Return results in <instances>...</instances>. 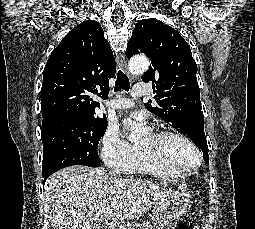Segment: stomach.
Masks as SVG:
<instances>
[{
  "label": "stomach",
  "mask_w": 255,
  "mask_h": 229,
  "mask_svg": "<svg viewBox=\"0 0 255 229\" xmlns=\"http://www.w3.org/2000/svg\"><path fill=\"white\" fill-rule=\"evenodd\" d=\"M192 203L191 191H174L164 204L155 208L151 218L154 229H170L171 224L183 216Z\"/></svg>",
  "instance_id": "0dacf381"
}]
</instances>
